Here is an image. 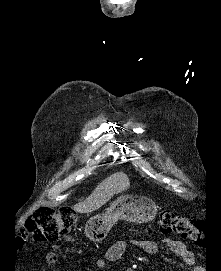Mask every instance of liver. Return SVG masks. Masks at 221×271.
Returning a JSON list of instances; mask_svg holds the SVG:
<instances>
[{
    "mask_svg": "<svg viewBox=\"0 0 221 271\" xmlns=\"http://www.w3.org/2000/svg\"><path fill=\"white\" fill-rule=\"evenodd\" d=\"M113 185H118L121 187L120 191L124 189L125 185H122L121 181L118 179H104L102 183L97 185L96 189H94L93 193L85 199V201H81V203H76L74 205L75 211H79V213H89V211H95V209H99L102 205H105L106 201H109L110 197H112L113 193L111 191Z\"/></svg>",
    "mask_w": 221,
    "mask_h": 271,
    "instance_id": "6515ba94",
    "label": "liver"
}]
</instances>
